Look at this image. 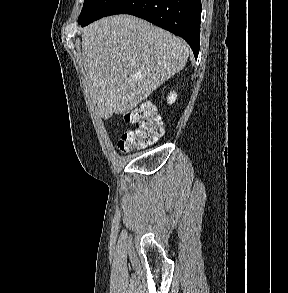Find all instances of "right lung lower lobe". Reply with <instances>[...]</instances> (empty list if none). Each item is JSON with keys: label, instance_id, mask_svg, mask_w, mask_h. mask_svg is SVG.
<instances>
[{"label": "right lung lower lobe", "instance_id": "98d812e1", "mask_svg": "<svg viewBox=\"0 0 288 293\" xmlns=\"http://www.w3.org/2000/svg\"><path fill=\"white\" fill-rule=\"evenodd\" d=\"M201 0H122L105 16L131 14L182 37L197 58L200 47Z\"/></svg>", "mask_w": 288, "mask_h": 293}]
</instances>
